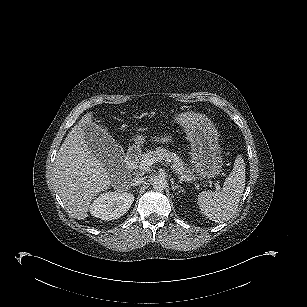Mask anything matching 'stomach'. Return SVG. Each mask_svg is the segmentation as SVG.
Segmentation results:
<instances>
[{
	"label": "stomach",
	"instance_id": "stomach-1",
	"mask_svg": "<svg viewBox=\"0 0 307 307\" xmlns=\"http://www.w3.org/2000/svg\"><path fill=\"white\" fill-rule=\"evenodd\" d=\"M191 144V163L201 179H211L221 171L218 133L212 121L200 112L185 111L174 116Z\"/></svg>",
	"mask_w": 307,
	"mask_h": 307
}]
</instances>
